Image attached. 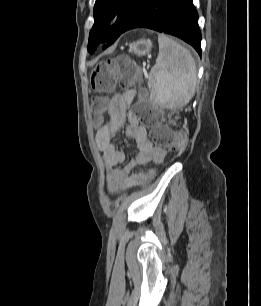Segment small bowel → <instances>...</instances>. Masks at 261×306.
Wrapping results in <instances>:
<instances>
[{"label":"small bowel","instance_id":"c3829d8e","mask_svg":"<svg viewBox=\"0 0 261 306\" xmlns=\"http://www.w3.org/2000/svg\"><path fill=\"white\" fill-rule=\"evenodd\" d=\"M134 102V92L114 95L108 105L109 119L97 133L96 143L103 153L105 164L110 168L111 189L125 188L135 184L140 175L139 166L149 162H161L165 157L164 149L154 146L148 137L146 127L139 123L136 113L128 108ZM126 125V136L132 140L138 152L121 169L114 167L126 159L125 151L116 148L113 139L117 132Z\"/></svg>","mask_w":261,"mask_h":306}]
</instances>
